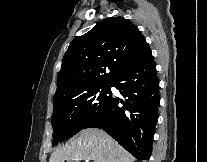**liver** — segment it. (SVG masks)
Listing matches in <instances>:
<instances>
[{"instance_id":"6515ba94","label":"liver","mask_w":207,"mask_h":162,"mask_svg":"<svg viewBox=\"0 0 207 162\" xmlns=\"http://www.w3.org/2000/svg\"><path fill=\"white\" fill-rule=\"evenodd\" d=\"M134 162L135 158L105 131L95 128L82 130L76 138L55 150L49 162Z\"/></svg>"}]
</instances>
